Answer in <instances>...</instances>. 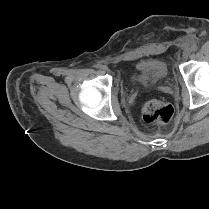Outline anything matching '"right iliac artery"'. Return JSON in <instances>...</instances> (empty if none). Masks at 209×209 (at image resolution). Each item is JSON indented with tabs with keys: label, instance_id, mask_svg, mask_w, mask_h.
Segmentation results:
<instances>
[{
	"label": "right iliac artery",
	"instance_id": "1",
	"mask_svg": "<svg viewBox=\"0 0 209 209\" xmlns=\"http://www.w3.org/2000/svg\"><path fill=\"white\" fill-rule=\"evenodd\" d=\"M95 67H96V68H102V66H101V65H99V64H98V65H96Z\"/></svg>",
	"mask_w": 209,
	"mask_h": 209
}]
</instances>
